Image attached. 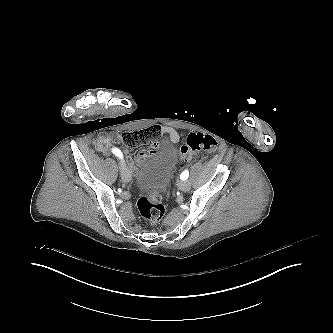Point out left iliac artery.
Returning <instances> with one entry per match:
<instances>
[{"label": "left iliac artery", "instance_id": "left-iliac-artery-1", "mask_svg": "<svg viewBox=\"0 0 333 333\" xmlns=\"http://www.w3.org/2000/svg\"><path fill=\"white\" fill-rule=\"evenodd\" d=\"M189 177V171L185 170L184 172L181 173L180 178L182 180H186Z\"/></svg>", "mask_w": 333, "mask_h": 333}]
</instances>
